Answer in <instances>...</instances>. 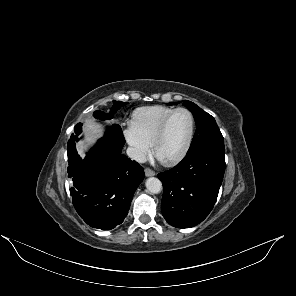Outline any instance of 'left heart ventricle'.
Segmentation results:
<instances>
[{
	"instance_id": "obj_1",
	"label": "left heart ventricle",
	"mask_w": 296,
	"mask_h": 296,
	"mask_svg": "<svg viewBox=\"0 0 296 296\" xmlns=\"http://www.w3.org/2000/svg\"><path fill=\"white\" fill-rule=\"evenodd\" d=\"M191 120L186 112L176 113L169 122L166 132L160 141L156 156L167 161L176 156L184 148L190 133Z\"/></svg>"
}]
</instances>
